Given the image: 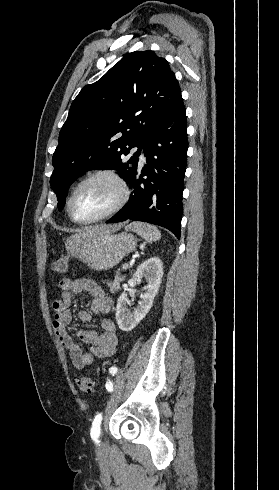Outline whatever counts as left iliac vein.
<instances>
[{
  "instance_id": "4c4485c4",
  "label": "left iliac vein",
  "mask_w": 279,
  "mask_h": 490,
  "mask_svg": "<svg viewBox=\"0 0 279 490\" xmlns=\"http://www.w3.org/2000/svg\"><path fill=\"white\" fill-rule=\"evenodd\" d=\"M106 443L105 441H101L98 445V451H103L105 449Z\"/></svg>"
}]
</instances>
